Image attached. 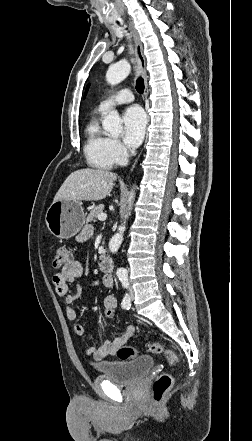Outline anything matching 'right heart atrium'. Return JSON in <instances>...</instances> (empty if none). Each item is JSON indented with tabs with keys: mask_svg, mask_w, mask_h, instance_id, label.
Wrapping results in <instances>:
<instances>
[{
	"mask_svg": "<svg viewBox=\"0 0 252 441\" xmlns=\"http://www.w3.org/2000/svg\"><path fill=\"white\" fill-rule=\"evenodd\" d=\"M110 152L115 163L123 162L128 155L126 148L117 139H110Z\"/></svg>",
	"mask_w": 252,
	"mask_h": 441,
	"instance_id": "1",
	"label": "right heart atrium"
}]
</instances>
